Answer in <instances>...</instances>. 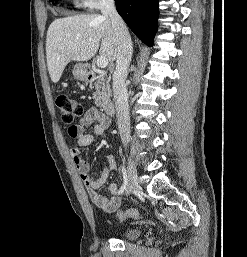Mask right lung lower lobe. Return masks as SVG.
<instances>
[{
    "label": "right lung lower lobe",
    "mask_w": 247,
    "mask_h": 257,
    "mask_svg": "<svg viewBox=\"0 0 247 257\" xmlns=\"http://www.w3.org/2000/svg\"><path fill=\"white\" fill-rule=\"evenodd\" d=\"M159 0H115L116 9L134 34L152 46L157 30Z\"/></svg>",
    "instance_id": "obj_1"
}]
</instances>
